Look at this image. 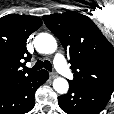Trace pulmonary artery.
Listing matches in <instances>:
<instances>
[{"label":"pulmonary artery","mask_w":114,"mask_h":114,"mask_svg":"<svg viewBox=\"0 0 114 114\" xmlns=\"http://www.w3.org/2000/svg\"><path fill=\"white\" fill-rule=\"evenodd\" d=\"M54 64L56 69L65 77L71 79L73 77L67 62L63 55L57 54L54 58Z\"/></svg>","instance_id":"obj_1"}]
</instances>
